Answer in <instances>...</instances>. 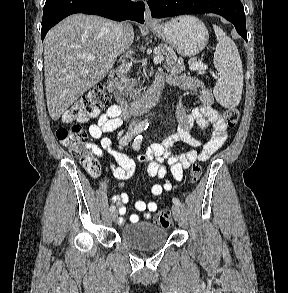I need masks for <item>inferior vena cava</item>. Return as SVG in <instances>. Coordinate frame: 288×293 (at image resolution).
Listing matches in <instances>:
<instances>
[{"instance_id": "1", "label": "inferior vena cava", "mask_w": 288, "mask_h": 293, "mask_svg": "<svg viewBox=\"0 0 288 293\" xmlns=\"http://www.w3.org/2000/svg\"><path fill=\"white\" fill-rule=\"evenodd\" d=\"M126 26H127V23L125 22L117 23L115 26L116 40L118 43H120L121 39L123 38V35L126 31ZM133 125L134 123L130 125V129L132 128Z\"/></svg>"}]
</instances>
